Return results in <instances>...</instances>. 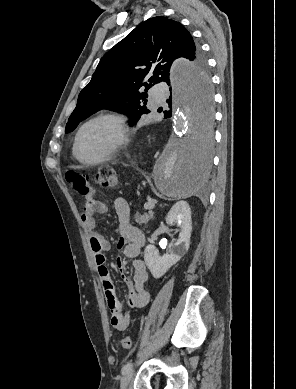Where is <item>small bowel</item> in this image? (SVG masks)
<instances>
[{"label":"small bowel","mask_w":296,"mask_h":389,"mask_svg":"<svg viewBox=\"0 0 296 389\" xmlns=\"http://www.w3.org/2000/svg\"><path fill=\"white\" fill-rule=\"evenodd\" d=\"M119 220L118 248L123 250L124 257L132 260L134 274L130 278L126 272L124 260L117 259V266L122 278L128 285V305L132 309L145 307L150 300V292L146 286L148 274L144 262L139 258L141 248L145 243L144 234L140 229L130 223L129 205L123 198H117L113 204ZM107 205L100 201L93 192L85 197L83 212L81 214L82 226L89 238L97 272L102 283L103 291L111 312V324L119 331L125 330L129 325V315L122 312L121 303L113 287L110 273L105 265V252L110 249L107 238L96 231L95 214L105 213Z\"/></svg>","instance_id":"c3829d8e"}]
</instances>
